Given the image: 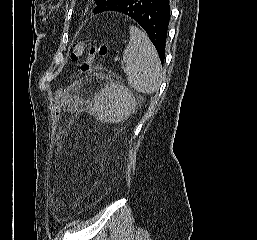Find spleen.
Returning <instances> with one entry per match:
<instances>
[{
    "mask_svg": "<svg viewBox=\"0 0 257 240\" xmlns=\"http://www.w3.org/2000/svg\"><path fill=\"white\" fill-rule=\"evenodd\" d=\"M128 84L138 92L152 94L162 82L159 56L148 36L130 26V41L123 52Z\"/></svg>",
    "mask_w": 257,
    "mask_h": 240,
    "instance_id": "obj_1",
    "label": "spleen"
}]
</instances>
